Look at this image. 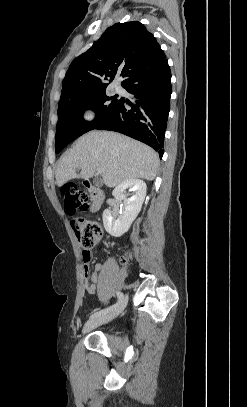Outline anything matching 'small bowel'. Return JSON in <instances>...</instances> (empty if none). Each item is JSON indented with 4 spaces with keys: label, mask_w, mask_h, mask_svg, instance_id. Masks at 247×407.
<instances>
[{
    "label": "small bowel",
    "mask_w": 247,
    "mask_h": 407,
    "mask_svg": "<svg viewBox=\"0 0 247 407\" xmlns=\"http://www.w3.org/2000/svg\"><path fill=\"white\" fill-rule=\"evenodd\" d=\"M83 261H84V288L89 294H93L96 291V284L99 281V276L98 272L102 270V265L101 264H96L94 267V272L91 276V283L89 282V263L92 259V254L90 253L89 255H85L83 253L82 255Z\"/></svg>",
    "instance_id": "c3829d8e"
}]
</instances>
